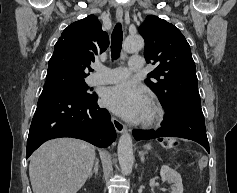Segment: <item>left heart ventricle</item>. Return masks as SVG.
I'll use <instances>...</instances> for the list:
<instances>
[{
	"label": "left heart ventricle",
	"mask_w": 237,
	"mask_h": 193,
	"mask_svg": "<svg viewBox=\"0 0 237 193\" xmlns=\"http://www.w3.org/2000/svg\"><path fill=\"white\" fill-rule=\"evenodd\" d=\"M149 113H150V107L148 108V110H147V113H146V116H145V117H147V116L149 115Z\"/></svg>",
	"instance_id": "b2bd125f"
}]
</instances>
